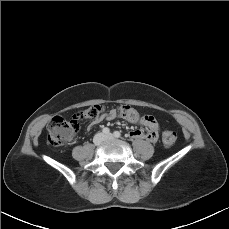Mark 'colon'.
<instances>
[{"label":"colon","mask_w":229,"mask_h":229,"mask_svg":"<svg viewBox=\"0 0 229 229\" xmlns=\"http://www.w3.org/2000/svg\"><path fill=\"white\" fill-rule=\"evenodd\" d=\"M104 108L100 105H94L83 111L77 112L72 120H67L62 116L53 117L47 125V140L53 146H61L68 142L78 127L79 120H97L103 113ZM119 113L132 122L141 119L137 109L130 105H120ZM162 142L166 147H172L177 142V134L174 131H166L162 136Z\"/></svg>","instance_id":"1"}]
</instances>
